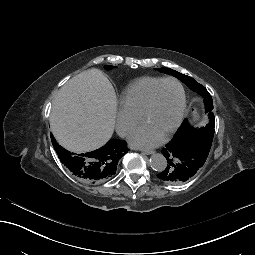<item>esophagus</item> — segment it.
Returning <instances> with one entry per match:
<instances>
[{"label":"esophagus","mask_w":255,"mask_h":255,"mask_svg":"<svg viewBox=\"0 0 255 255\" xmlns=\"http://www.w3.org/2000/svg\"><path fill=\"white\" fill-rule=\"evenodd\" d=\"M143 153L146 155H150V154L154 153V151L153 150H143Z\"/></svg>","instance_id":"34e87169"}]
</instances>
